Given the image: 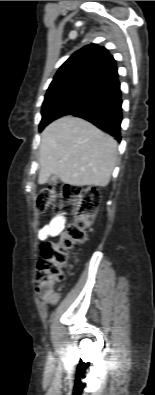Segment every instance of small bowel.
<instances>
[{
    "label": "small bowel",
    "instance_id": "small-bowel-1",
    "mask_svg": "<svg viewBox=\"0 0 155 395\" xmlns=\"http://www.w3.org/2000/svg\"><path fill=\"white\" fill-rule=\"evenodd\" d=\"M65 222L66 219L63 214L55 216L50 220L48 224H46L39 230L38 232L39 239L44 241L49 237L59 235L64 228Z\"/></svg>",
    "mask_w": 155,
    "mask_h": 395
}]
</instances>
